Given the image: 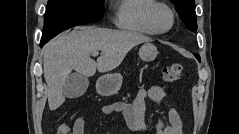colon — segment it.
Wrapping results in <instances>:
<instances>
[{"instance_id":"5ec220e1","label":"colon","mask_w":239,"mask_h":134,"mask_svg":"<svg viewBox=\"0 0 239 134\" xmlns=\"http://www.w3.org/2000/svg\"><path fill=\"white\" fill-rule=\"evenodd\" d=\"M183 74V66L180 63H171L163 69V77L167 83H174L178 81ZM68 127L62 124L59 128V134H66Z\"/></svg>"}]
</instances>
